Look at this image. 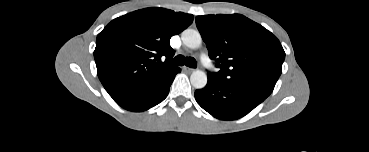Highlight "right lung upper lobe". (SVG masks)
<instances>
[{
  "instance_id": "right-lung-upper-lobe-1",
  "label": "right lung upper lobe",
  "mask_w": 369,
  "mask_h": 152,
  "mask_svg": "<svg viewBox=\"0 0 369 152\" xmlns=\"http://www.w3.org/2000/svg\"><path fill=\"white\" fill-rule=\"evenodd\" d=\"M193 19L191 14L154 7L112 20L98 34L94 51L98 77L109 95L119 96L175 69L169 40Z\"/></svg>"
}]
</instances>
